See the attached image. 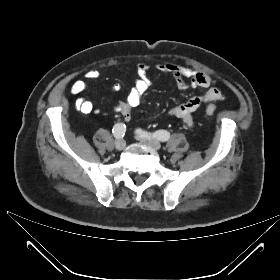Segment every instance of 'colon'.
Wrapping results in <instances>:
<instances>
[{"instance_id":"obj_1","label":"colon","mask_w":280,"mask_h":280,"mask_svg":"<svg viewBox=\"0 0 280 280\" xmlns=\"http://www.w3.org/2000/svg\"><path fill=\"white\" fill-rule=\"evenodd\" d=\"M215 108L214 107H207L206 108V113L208 114V115H213L214 113H215Z\"/></svg>"}]
</instances>
